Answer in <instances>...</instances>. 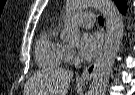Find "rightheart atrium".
I'll return each instance as SVG.
<instances>
[{"mask_svg": "<svg viewBox=\"0 0 135 95\" xmlns=\"http://www.w3.org/2000/svg\"><path fill=\"white\" fill-rule=\"evenodd\" d=\"M74 58V52L70 48H67L66 50V59L71 60Z\"/></svg>", "mask_w": 135, "mask_h": 95, "instance_id": "1", "label": "right heart atrium"}]
</instances>
